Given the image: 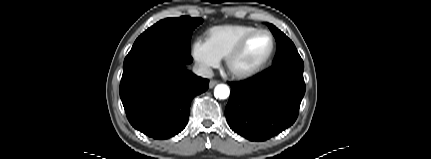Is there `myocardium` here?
<instances>
[{
	"label": "myocardium",
	"instance_id": "obj_1",
	"mask_svg": "<svg viewBox=\"0 0 431 159\" xmlns=\"http://www.w3.org/2000/svg\"><path fill=\"white\" fill-rule=\"evenodd\" d=\"M258 34H266L271 38L272 49H271L270 54L260 65H258L257 67H255L253 69H250L247 71H242V72L234 71L232 68L234 61L244 51L248 42ZM276 50H277V42H276V39H275L274 35L272 34V32H270L269 30H266V29H256V30L248 33L247 35H245L236 44V46L228 53V55L225 57V65H226L227 72L229 73V75L232 78L237 79V80H245V79L252 78V77L260 74L261 72H263L271 64V62H272V60L276 54Z\"/></svg>",
	"mask_w": 431,
	"mask_h": 159
}]
</instances>
